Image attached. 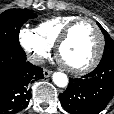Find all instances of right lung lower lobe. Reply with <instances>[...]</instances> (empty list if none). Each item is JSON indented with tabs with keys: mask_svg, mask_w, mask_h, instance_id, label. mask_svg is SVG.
<instances>
[{
	"mask_svg": "<svg viewBox=\"0 0 114 114\" xmlns=\"http://www.w3.org/2000/svg\"><path fill=\"white\" fill-rule=\"evenodd\" d=\"M44 77L40 67L26 62V54L0 51V114H15L28 106L30 85Z\"/></svg>",
	"mask_w": 114,
	"mask_h": 114,
	"instance_id": "right-lung-lower-lobe-1",
	"label": "right lung lower lobe"
}]
</instances>
